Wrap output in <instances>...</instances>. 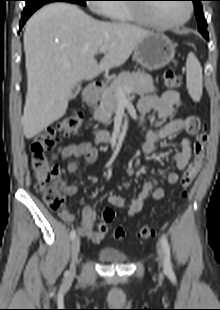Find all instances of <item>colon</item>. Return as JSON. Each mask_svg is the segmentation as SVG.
I'll use <instances>...</instances> for the list:
<instances>
[{"instance_id":"colon-1","label":"colon","mask_w":220,"mask_h":310,"mask_svg":"<svg viewBox=\"0 0 220 310\" xmlns=\"http://www.w3.org/2000/svg\"><path fill=\"white\" fill-rule=\"evenodd\" d=\"M164 82L167 86L177 88L181 85V77L172 70L164 73ZM84 116L80 111H73L62 119L56 126L50 127L37 134L30 146L32 167L35 174V188L41 194L46 206L52 211H59L65 203L68 185L61 178L60 168L51 162L48 157L50 149L61 139L62 136L75 135L82 126ZM208 134L204 127L198 131L193 145V157L182 174L180 186L187 189L191 186L199 171L204 159ZM115 218L112 209L106 208L103 211L104 223H111ZM155 229L150 226H143L139 229L138 238L148 239L153 236ZM113 236L115 239H122L125 231L117 227Z\"/></svg>"}]
</instances>
